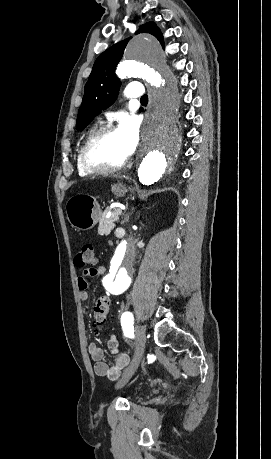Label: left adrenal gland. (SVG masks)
Returning a JSON list of instances; mask_svg holds the SVG:
<instances>
[{"instance_id":"1","label":"left adrenal gland","mask_w":271,"mask_h":459,"mask_svg":"<svg viewBox=\"0 0 271 459\" xmlns=\"http://www.w3.org/2000/svg\"><path fill=\"white\" fill-rule=\"evenodd\" d=\"M128 220H129V216L128 214H126L124 222H128Z\"/></svg>"}]
</instances>
